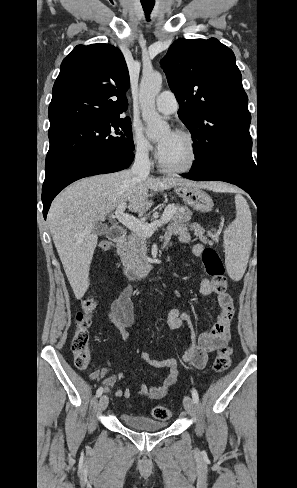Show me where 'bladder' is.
I'll list each match as a JSON object with an SVG mask.
<instances>
[{"label":"bladder","mask_w":297,"mask_h":488,"mask_svg":"<svg viewBox=\"0 0 297 488\" xmlns=\"http://www.w3.org/2000/svg\"><path fill=\"white\" fill-rule=\"evenodd\" d=\"M120 420L126 427L136 431L153 432L162 430L167 426V423L164 421L130 413H122L120 415Z\"/></svg>","instance_id":"1"}]
</instances>
